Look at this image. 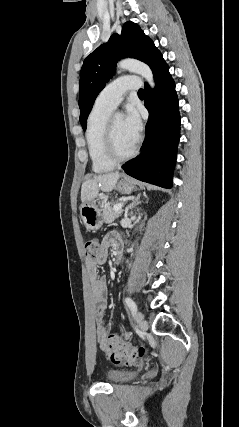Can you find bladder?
Here are the masks:
<instances>
[{
	"label": "bladder",
	"mask_w": 239,
	"mask_h": 427,
	"mask_svg": "<svg viewBox=\"0 0 239 427\" xmlns=\"http://www.w3.org/2000/svg\"><path fill=\"white\" fill-rule=\"evenodd\" d=\"M137 376V372L129 370H109L106 373V378L114 384L126 383L133 380Z\"/></svg>",
	"instance_id": "31cf9c89"
}]
</instances>
